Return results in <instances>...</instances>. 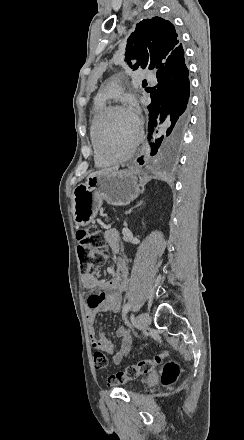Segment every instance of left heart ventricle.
I'll use <instances>...</instances> for the list:
<instances>
[{
  "mask_svg": "<svg viewBox=\"0 0 244 440\" xmlns=\"http://www.w3.org/2000/svg\"><path fill=\"white\" fill-rule=\"evenodd\" d=\"M108 131L104 136L105 146L127 145L132 138V128L124 110H116L110 116V124H105Z\"/></svg>",
  "mask_w": 244,
  "mask_h": 440,
  "instance_id": "b2bd125f",
  "label": "left heart ventricle"
}]
</instances>
